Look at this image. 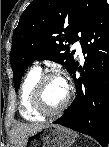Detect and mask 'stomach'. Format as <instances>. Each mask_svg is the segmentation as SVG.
Returning <instances> with one entry per match:
<instances>
[{
    "instance_id": "0dacf381",
    "label": "stomach",
    "mask_w": 109,
    "mask_h": 147,
    "mask_svg": "<svg viewBox=\"0 0 109 147\" xmlns=\"http://www.w3.org/2000/svg\"><path fill=\"white\" fill-rule=\"evenodd\" d=\"M76 137L77 134L68 128L47 124L27 137L25 147H71Z\"/></svg>"
}]
</instances>
